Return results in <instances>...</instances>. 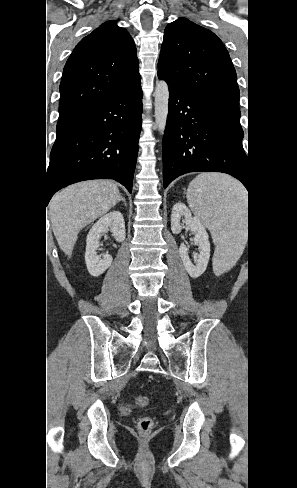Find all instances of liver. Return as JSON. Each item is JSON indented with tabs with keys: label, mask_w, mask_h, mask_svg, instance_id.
Segmentation results:
<instances>
[{
	"label": "liver",
	"mask_w": 297,
	"mask_h": 488,
	"mask_svg": "<svg viewBox=\"0 0 297 488\" xmlns=\"http://www.w3.org/2000/svg\"><path fill=\"white\" fill-rule=\"evenodd\" d=\"M119 199L116 184L106 180L76 183L55 194L48 216L60 249L70 257L80 230L107 213Z\"/></svg>",
	"instance_id": "obj_1"
}]
</instances>
